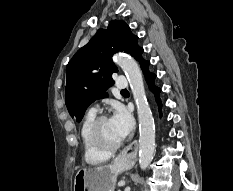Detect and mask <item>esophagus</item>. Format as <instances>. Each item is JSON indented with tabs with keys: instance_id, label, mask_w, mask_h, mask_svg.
<instances>
[{
	"instance_id": "1",
	"label": "esophagus",
	"mask_w": 233,
	"mask_h": 191,
	"mask_svg": "<svg viewBox=\"0 0 233 191\" xmlns=\"http://www.w3.org/2000/svg\"><path fill=\"white\" fill-rule=\"evenodd\" d=\"M137 154V141H133L128 145L115 159L118 163H130Z\"/></svg>"
}]
</instances>
